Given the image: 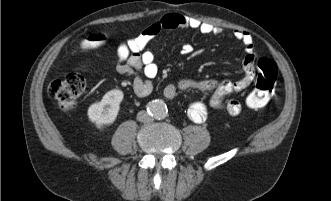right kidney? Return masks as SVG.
Listing matches in <instances>:
<instances>
[{"label":"right kidney","mask_w":331,"mask_h":201,"mask_svg":"<svg viewBox=\"0 0 331 201\" xmlns=\"http://www.w3.org/2000/svg\"><path fill=\"white\" fill-rule=\"evenodd\" d=\"M123 96V92L119 89L108 91L100 102L89 106L87 112L89 120L99 129L111 125L117 118Z\"/></svg>","instance_id":"obj_1"}]
</instances>
